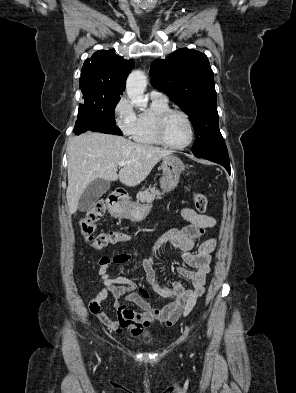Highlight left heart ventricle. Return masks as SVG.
Returning <instances> with one entry per match:
<instances>
[{
  "label": "left heart ventricle",
  "instance_id": "obj_1",
  "mask_svg": "<svg viewBox=\"0 0 296 393\" xmlns=\"http://www.w3.org/2000/svg\"><path fill=\"white\" fill-rule=\"evenodd\" d=\"M165 136L167 141L173 145L185 144L190 136L186 120L180 115L171 116L166 124Z\"/></svg>",
  "mask_w": 296,
  "mask_h": 393
}]
</instances>
